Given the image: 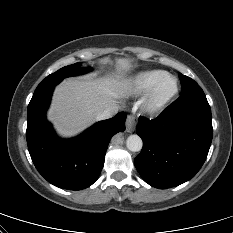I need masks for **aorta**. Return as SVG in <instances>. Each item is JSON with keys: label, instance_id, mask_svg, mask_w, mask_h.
<instances>
[{"label": "aorta", "instance_id": "aorta-1", "mask_svg": "<svg viewBox=\"0 0 233 233\" xmlns=\"http://www.w3.org/2000/svg\"><path fill=\"white\" fill-rule=\"evenodd\" d=\"M142 139L138 135H130L126 140L127 148L132 152H138L142 149Z\"/></svg>", "mask_w": 233, "mask_h": 233}]
</instances>
